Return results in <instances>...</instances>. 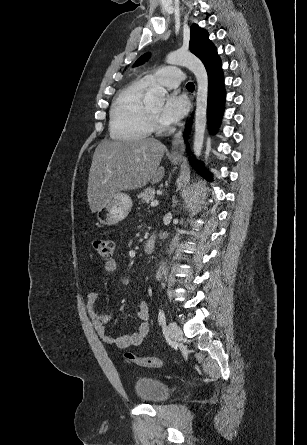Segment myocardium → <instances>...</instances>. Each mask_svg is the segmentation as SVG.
Here are the masks:
<instances>
[{"instance_id":"f54148a6","label":"myocardium","mask_w":307,"mask_h":445,"mask_svg":"<svg viewBox=\"0 0 307 445\" xmlns=\"http://www.w3.org/2000/svg\"><path fill=\"white\" fill-rule=\"evenodd\" d=\"M147 114L150 119L151 126L157 131H166L168 130L167 125L161 120L160 116H157L152 112L149 106L146 105ZM158 139V138H154Z\"/></svg>"}]
</instances>
